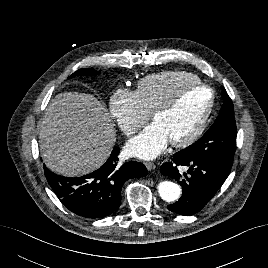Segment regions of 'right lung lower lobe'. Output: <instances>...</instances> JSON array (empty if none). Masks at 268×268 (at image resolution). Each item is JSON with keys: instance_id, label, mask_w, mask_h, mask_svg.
Listing matches in <instances>:
<instances>
[{"instance_id": "obj_1", "label": "right lung lower lobe", "mask_w": 268, "mask_h": 268, "mask_svg": "<svg viewBox=\"0 0 268 268\" xmlns=\"http://www.w3.org/2000/svg\"><path fill=\"white\" fill-rule=\"evenodd\" d=\"M119 147H114L109 159L94 172L67 178L56 175L44 165L49 185L62 204L86 218H103L118 209L123 184L131 178L146 176V167L130 161L118 165Z\"/></svg>"}]
</instances>
